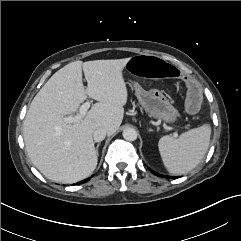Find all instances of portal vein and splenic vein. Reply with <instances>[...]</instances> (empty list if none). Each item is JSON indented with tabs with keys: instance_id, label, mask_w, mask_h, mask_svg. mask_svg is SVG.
Here are the masks:
<instances>
[{
	"instance_id": "1",
	"label": "portal vein and splenic vein",
	"mask_w": 241,
	"mask_h": 241,
	"mask_svg": "<svg viewBox=\"0 0 241 241\" xmlns=\"http://www.w3.org/2000/svg\"><path fill=\"white\" fill-rule=\"evenodd\" d=\"M91 105V102L87 101L85 103H83L79 109V114L76 115V116H69V117H65L63 118V120L66 122V123H74V122H77L79 121L80 119H82V117L85 116L87 110L89 109Z\"/></svg>"
}]
</instances>
